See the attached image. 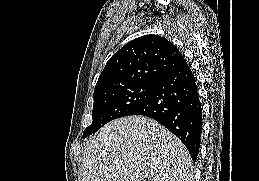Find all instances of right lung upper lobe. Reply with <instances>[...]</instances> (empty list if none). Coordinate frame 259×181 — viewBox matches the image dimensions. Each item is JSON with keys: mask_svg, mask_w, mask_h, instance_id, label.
Instances as JSON below:
<instances>
[{"mask_svg": "<svg viewBox=\"0 0 259 181\" xmlns=\"http://www.w3.org/2000/svg\"><path fill=\"white\" fill-rule=\"evenodd\" d=\"M184 63L177 47L164 37L141 36L124 45L108 60L94 94L135 83H156Z\"/></svg>", "mask_w": 259, "mask_h": 181, "instance_id": "cb5924a9", "label": "right lung upper lobe"}]
</instances>
